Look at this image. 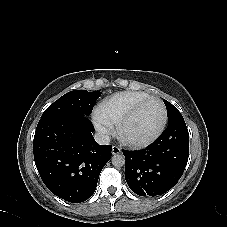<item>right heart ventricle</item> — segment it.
<instances>
[{"mask_svg": "<svg viewBox=\"0 0 227 227\" xmlns=\"http://www.w3.org/2000/svg\"><path fill=\"white\" fill-rule=\"evenodd\" d=\"M148 97L150 95L145 92L124 91L116 93L103 100L96 112L111 124L116 125L139 102Z\"/></svg>", "mask_w": 227, "mask_h": 227, "instance_id": "obj_1", "label": "right heart ventricle"}]
</instances>
